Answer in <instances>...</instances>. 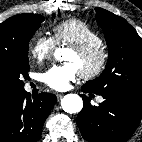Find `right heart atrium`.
Here are the masks:
<instances>
[{"label":"right heart atrium","mask_w":142,"mask_h":142,"mask_svg":"<svg viewBox=\"0 0 142 142\" xmlns=\"http://www.w3.org/2000/svg\"><path fill=\"white\" fill-rule=\"evenodd\" d=\"M56 42L53 37L38 34L30 44L29 52L31 57L37 62L42 63L52 57Z\"/></svg>","instance_id":"1"}]
</instances>
